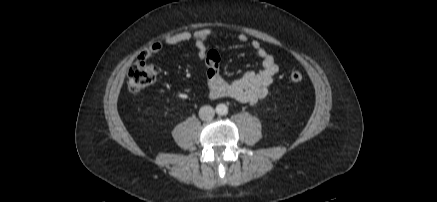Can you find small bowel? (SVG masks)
I'll use <instances>...</instances> for the list:
<instances>
[{
	"label": "small bowel",
	"mask_w": 437,
	"mask_h": 202,
	"mask_svg": "<svg viewBox=\"0 0 437 202\" xmlns=\"http://www.w3.org/2000/svg\"><path fill=\"white\" fill-rule=\"evenodd\" d=\"M213 36L210 29H200L194 32L182 31L168 35L162 42H154L144 48L138 58L147 60L163 49V44L178 45L184 42H193L197 47L198 58L205 62L207 67L206 82L208 95L212 99L231 98L241 103L254 104L266 97L279 65L258 40L250 42L251 48L260 58L262 68L259 71H247L241 76L227 79L220 71V56L217 51L208 49L206 43ZM238 40L248 42V36L239 34Z\"/></svg>",
	"instance_id": "obj_1"
}]
</instances>
